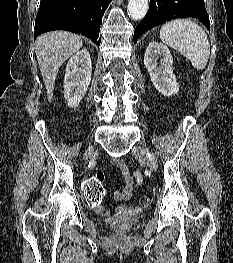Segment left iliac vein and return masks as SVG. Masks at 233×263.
<instances>
[{
	"instance_id": "4c4485c4",
	"label": "left iliac vein",
	"mask_w": 233,
	"mask_h": 263,
	"mask_svg": "<svg viewBox=\"0 0 233 263\" xmlns=\"http://www.w3.org/2000/svg\"><path fill=\"white\" fill-rule=\"evenodd\" d=\"M132 154L141 161L147 162L149 168L152 171H156L158 168V164L156 160L154 159L152 153L148 151L147 149L141 147V146H135L132 150Z\"/></svg>"
}]
</instances>
